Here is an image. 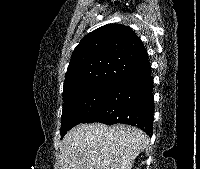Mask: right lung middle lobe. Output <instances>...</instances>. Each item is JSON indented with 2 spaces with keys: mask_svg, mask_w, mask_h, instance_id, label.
Instances as JSON below:
<instances>
[{
  "mask_svg": "<svg viewBox=\"0 0 200 169\" xmlns=\"http://www.w3.org/2000/svg\"><path fill=\"white\" fill-rule=\"evenodd\" d=\"M117 80L107 79L95 82L73 96L63 99L61 138L75 125L82 123L109 96Z\"/></svg>",
  "mask_w": 200,
  "mask_h": 169,
  "instance_id": "dd1d6c3e",
  "label": "right lung middle lobe"
}]
</instances>
